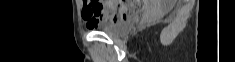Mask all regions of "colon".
<instances>
[{
  "label": "colon",
  "instance_id": "5ec220e1",
  "mask_svg": "<svg viewBox=\"0 0 235 62\" xmlns=\"http://www.w3.org/2000/svg\"><path fill=\"white\" fill-rule=\"evenodd\" d=\"M115 5H114V20H120L122 18H125L131 11L133 10H130L126 5L125 3H121V2H114ZM95 7H99L101 6L100 4H95L94 5Z\"/></svg>",
  "mask_w": 235,
  "mask_h": 62
}]
</instances>
